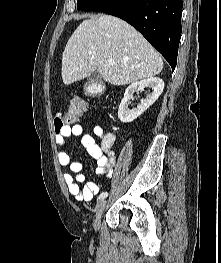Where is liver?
Here are the masks:
<instances>
[{
	"label": "liver",
	"instance_id": "liver-1",
	"mask_svg": "<svg viewBox=\"0 0 221 263\" xmlns=\"http://www.w3.org/2000/svg\"><path fill=\"white\" fill-rule=\"evenodd\" d=\"M109 59L115 64L110 65ZM162 69V57L146 39L131 25L111 15L84 20L69 38L62 55L65 85L96 70L108 83L127 85L158 75Z\"/></svg>",
	"mask_w": 221,
	"mask_h": 263
}]
</instances>
